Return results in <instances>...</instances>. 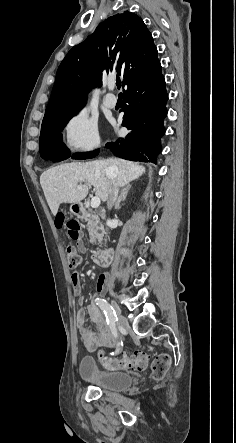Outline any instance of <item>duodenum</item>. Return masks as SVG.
<instances>
[{
    "label": "duodenum",
    "instance_id": "duodenum-1",
    "mask_svg": "<svg viewBox=\"0 0 236 443\" xmlns=\"http://www.w3.org/2000/svg\"><path fill=\"white\" fill-rule=\"evenodd\" d=\"M75 212L79 217L87 215L88 210L83 205H77ZM92 259L97 266H108L111 262V250L95 251L92 254Z\"/></svg>",
    "mask_w": 236,
    "mask_h": 443
}]
</instances>
